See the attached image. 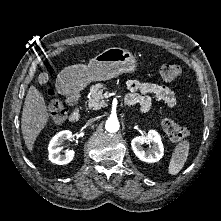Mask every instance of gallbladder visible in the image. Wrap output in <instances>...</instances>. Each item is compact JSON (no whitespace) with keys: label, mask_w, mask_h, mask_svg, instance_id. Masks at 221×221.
Instances as JSON below:
<instances>
[{"label":"gallbladder","mask_w":221,"mask_h":221,"mask_svg":"<svg viewBox=\"0 0 221 221\" xmlns=\"http://www.w3.org/2000/svg\"><path fill=\"white\" fill-rule=\"evenodd\" d=\"M46 78H47L46 74L42 73V74L39 75L38 81L41 82V83H45Z\"/></svg>","instance_id":"gallbladder-1"}]
</instances>
